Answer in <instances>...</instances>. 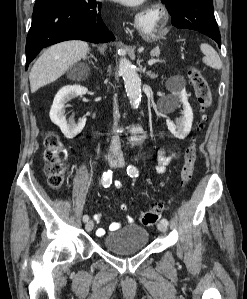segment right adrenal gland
I'll return each mask as SVG.
<instances>
[{"mask_svg":"<svg viewBox=\"0 0 247 299\" xmlns=\"http://www.w3.org/2000/svg\"><path fill=\"white\" fill-rule=\"evenodd\" d=\"M89 58H93L97 62V59L95 58V56L92 53H90V56L88 57V59Z\"/></svg>","mask_w":247,"mask_h":299,"instance_id":"obj_1","label":"right adrenal gland"}]
</instances>
